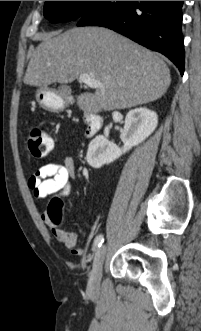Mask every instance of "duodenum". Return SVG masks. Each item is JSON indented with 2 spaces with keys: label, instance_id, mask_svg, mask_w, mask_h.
Masks as SVG:
<instances>
[{
  "label": "duodenum",
  "instance_id": "obj_1",
  "mask_svg": "<svg viewBox=\"0 0 201 331\" xmlns=\"http://www.w3.org/2000/svg\"><path fill=\"white\" fill-rule=\"evenodd\" d=\"M84 121L86 123L85 136L92 138L102 127L103 117L95 113L86 112L84 113Z\"/></svg>",
  "mask_w": 201,
  "mask_h": 331
}]
</instances>
